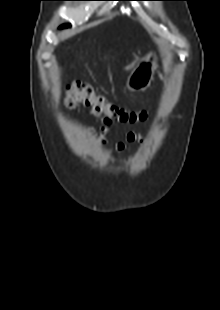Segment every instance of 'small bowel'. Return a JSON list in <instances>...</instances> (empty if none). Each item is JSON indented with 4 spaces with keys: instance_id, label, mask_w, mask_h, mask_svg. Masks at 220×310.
Wrapping results in <instances>:
<instances>
[{
    "instance_id": "small-bowel-1",
    "label": "small bowel",
    "mask_w": 220,
    "mask_h": 310,
    "mask_svg": "<svg viewBox=\"0 0 220 310\" xmlns=\"http://www.w3.org/2000/svg\"><path fill=\"white\" fill-rule=\"evenodd\" d=\"M107 132V128L106 127H102L100 132L95 131L94 129H88L87 133H89L90 135H92L95 140H97L101 145L104 144V139L102 138V135L104 133ZM134 141H138V142H142V138L140 137L139 134L135 133V132H130L127 135V143H131ZM125 143V142H120L115 146V150L118 152H131V148L130 146Z\"/></svg>"
}]
</instances>
